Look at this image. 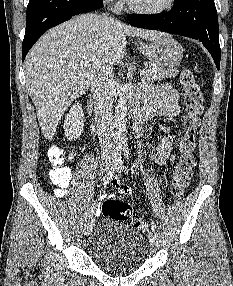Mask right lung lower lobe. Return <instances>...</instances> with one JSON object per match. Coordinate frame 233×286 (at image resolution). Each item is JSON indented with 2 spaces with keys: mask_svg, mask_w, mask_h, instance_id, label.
<instances>
[{
  "mask_svg": "<svg viewBox=\"0 0 233 286\" xmlns=\"http://www.w3.org/2000/svg\"><path fill=\"white\" fill-rule=\"evenodd\" d=\"M101 7L102 0H30L27 6L22 60L46 30Z\"/></svg>",
  "mask_w": 233,
  "mask_h": 286,
  "instance_id": "98d812e1",
  "label": "right lung lower lobe"
}]
</instances>
